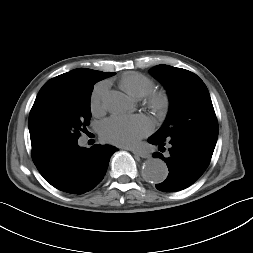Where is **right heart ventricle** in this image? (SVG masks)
Here are the masks:
<instances>
[{"instance_id": "obj_1", "label": "right heart ventricle", "mask_w": 253, "mask_h": 253, "mask_svg": "<svg viewBox=\"0 0 253 253\" xmlns=\"http://www.w3.org/2000/svg\"><path fill=\"white\" fill-rule=\"evenodd\" d=\"M120 86L132 97L141 98L149 94L155 84L151 78L144 74L129 72L121 77Z\"/></svg>"}]
</instances>
